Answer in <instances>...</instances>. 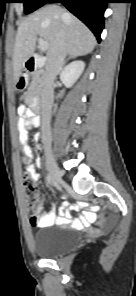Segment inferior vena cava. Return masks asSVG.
I'll list each match as a JSON object with an SVG mask.
<instances>
[{"label":"inferior vena cava","instance_id":"inferior-vena-cava-1","mask_svg":"<svg viewBox=\"0 0 136 296\" xmlns=\"http://www.w3.org/2000/svg\"><path fill=\"white\" fill-rule=\"evenodd\" d=\"M67 15V14H65ZM66 28L63 29L61 39L48 58L44 72L43 88L41 94V132L45 144H50V119L51 110L54 101L53 83L57 74L62 70L65 64L67 54L64 37Z\"/></svg>","mask_w":136,"mask_h":296}]
</instances>
